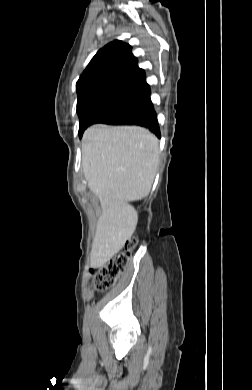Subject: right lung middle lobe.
<instances>
[{
	"label": "right lung middle lobe",
	"mask_w": 252,
	"mask_h": 390,
	"mask_svg": "<svg viewBox=\"0 0 252 390\" xmlns=\"http://www.w3.org/2000/svg\"><path fill=\"white\" fill-rule=\"evenodd\" d=\"M136 102L132 100L122 99H103L90 102L81 108L77 109L79 115V136L82 137L83 132L90 126L96 123H104L112 116L131 107Z\"/></svg>",
	"instance_id": "obj_1"
}]
</instances>
